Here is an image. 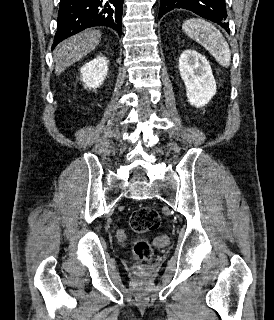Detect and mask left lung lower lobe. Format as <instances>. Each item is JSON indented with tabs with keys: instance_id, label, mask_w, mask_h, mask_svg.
Wrapping results in <instances>:
<instances>
[{
	"instance_id": "left-lung-lower-lobe-1",
	"label": "left lung lower lobe",
	"mask_w": 274,
	"mask_h": 320,
	"mask_svg": "<svg viewBox=\"0 0 274 320\" xmlns=\"http://www.w3.org/2000/svg\"><path fill=\"white\" fill-rule=\"evenodd\" d=\"M176 8L190 10L218 23L226 30L229 27V23L225 21L227 18L225 0H160L159 18Z\"/></svg>"
}]
</instances>
